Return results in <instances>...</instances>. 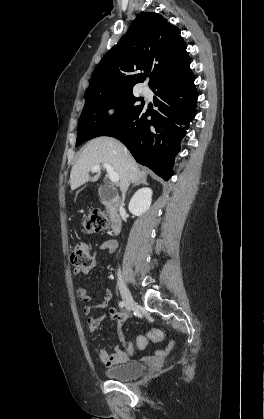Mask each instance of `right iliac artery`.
I'll use <instances>...</instances> for the list:
<instances>
[{
    "label": "right iliac artery",
    "mask_w": 264,
    "mask_h": 419,
    "mask_svg": "<svg viewBox=\"0 0 264 419\" xmlns=\"http://www.w3.org/2000/svg\"><path fill=\"white\" fill-rule=\"evenodd\" d=\"M119 306H120L121 308H123V307L125 306V303H124L123 301H120V302H119Z\"/></svg>",
    "instance_id": "1"
}]
</instances>
